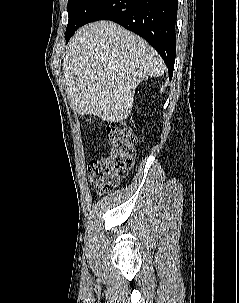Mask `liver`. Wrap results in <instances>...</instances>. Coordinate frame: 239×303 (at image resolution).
<instances>
[{"instance_id": "1", "label": "liver", "mask_w": 239, "mask_h": 303, "mask_svg": "<svg viewBox=\"0 0 239 303\" xmlns=\"http://www.w3.org/2000/svg\"><path fill=\"white\" fill-rule=\"evenodd\" d=\"M163 73L158 53L144 39L111 21L80 28L63 60L67 97L73 109L107 122L126 120L136 87Z\"/></svg>"}]
</instances>
